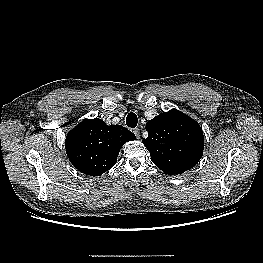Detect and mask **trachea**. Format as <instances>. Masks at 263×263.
Instances as JSON below:
<instances>
[{
    "label": "trachea",
    "instance_id": "trachea-1",
    "mask_svg": "<svg viewBox=\"0 0 263 263\" xmlns=\"http://www.w3.org/2000/svg\"><path fill=\"white\" fill-rule=\"evenodd\" d=\"M137 123H138V119H137L136 114L129 113L126 117L127 126L134 128V127H136Z\"/></svg>",
    "mask_w": 263,
    "mask_h": 263
}]
</instances>
